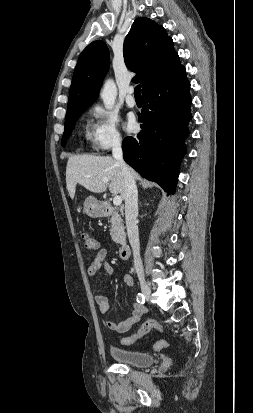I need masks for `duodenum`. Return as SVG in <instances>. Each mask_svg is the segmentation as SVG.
I'll list each match as a JSON object with an SVG mask.
<instances>
[{
    "instance_id": "duodenum-1",
    "label": "duodenum",
    "mask_w": 253,
    "mask_h": 413,
    "mask_svg": "<svg viewBox=\"0 0 253 413\" xmlns=\"http://www.w3.org/2000/svg\"><path fill=\"white\" fill-rule=\"evenodd\" d=\"M105 212L109 214L111 212V208L106 207ZM130 254H131L130 246L126 242L121 243L119 247V257L122 260H127L130 257Z\"/></svg>"
}]
</instances>
